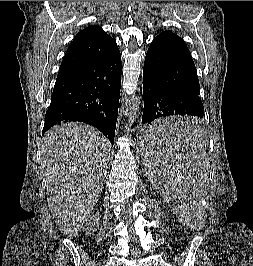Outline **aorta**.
<instances>
[{
	"label": "aorta",
	"mask_w": 253,
	"mask_h": 266,
	"mask_svg": "<svg viewBox=\"0 0 253 266\" xmlns=\"http://www.w3.org/2000/svg\"><path fill=\"white\" fill-rule=\"evenodd\" d=\"M139 104H140V101H138V98H136V102H135L134 105H132L131 112H130V114L128 116L129 123L133 122L134 118L137 117V111L139 110Z\"/></svg>",
	"instance_id": "1"
}]
</instances>
